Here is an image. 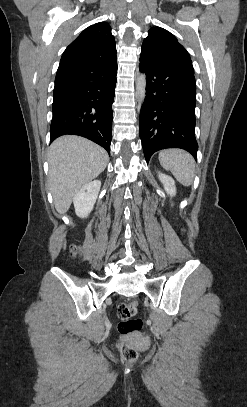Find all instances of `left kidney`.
Returning <instances> with one entry per match:
<instances>
[{
  "label": "left kidney",
  "instance_id": "left-kidney-1",
  "mask_svg": "<svg viewBox=\"0 0 247 407\" xmlns=\"http://www.w3.org/2000/svg\"><path fill=\"white\" fill-rule=\"evenodd\" d=\"M158 178L161 181V183L164 186L165 191L167 192L168 195L175 196L176 194V187H175V181L173 180L172 177L165 175L163 173L158 174Z\"/></svg>",
  "mask_w": 247,
  "mask_h": 407
}]
</instances>
